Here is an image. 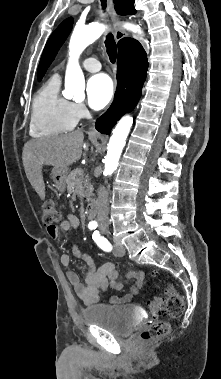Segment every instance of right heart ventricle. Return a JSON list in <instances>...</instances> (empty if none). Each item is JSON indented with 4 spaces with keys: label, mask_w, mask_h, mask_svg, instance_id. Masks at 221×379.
<instances>
[{
    "label": "right heart ventricle",
    "mask_w": 221,
    "mask_h": 379,
    "mask_svg": "<svg viewBox=\"0 0 221 379\" xmlns=\"http://www.w3.org/2000/svg\"><path fill=\"white\" fill-rule=\"evenodd\" d=\"M77 123L72 102L60 94L58 76L50 78L32 102L29 132L33 137H49L71 131Z\"/></svg>",
    "instance_id": "1"
}]
</instances>
